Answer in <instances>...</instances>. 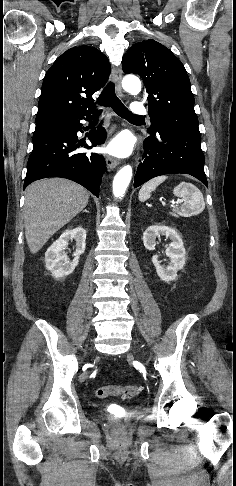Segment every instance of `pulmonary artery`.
Here are the masks:
<instances>
[{
    "label": "pulmonary artery",
    "instance_id": "obj_1",
    "mask_svg": "<svg viewBox=\"0 0 236 486\" xmlns=\"http://www.w3.org/2000/svg\"><path fill=\"white\" fill-rule=\"evenodd\" d=\"M131 110L134 115L143 116L147 114L146 107L140 102H134L131 105Z\"/></svg>",
    "mask_w": 236,
    "mask_h": 486
}]
</instances>
